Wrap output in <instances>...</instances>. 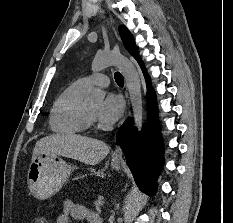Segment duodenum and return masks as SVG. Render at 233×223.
I'll use <instances>...</instances> for the list:
<instances>
[{
  "instance_id": "410a0bca",
  "label": "duodenum",
  "mask_w": 233,
  "mask_h": 223,
  "mask_svg": "<svg viewBox=\"0 0 233 223\" xmlns=\"http://www.w3.org/2000/svg\"><path fill=\"white\" fill-rule=\"evenodd\" d=\"M96 223H102V221L100 219H98Z\"/></svg>"
}]
</instances>
